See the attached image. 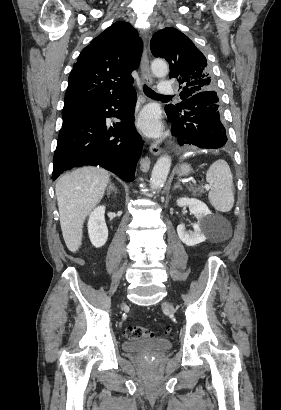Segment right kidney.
<instances>
[{"label":"right kidney","instance_id":"1","mask_svg":"<svg viewBox=\"0 0 281 410\" xmlns=\"http://www.w3.org/2000/svg\"><path fill=\"white\" fill-rule=\"evenodd\" d=\"M104 214L105 206H98L91 212L88 220L89 238L96 248L102 247L108 239V228Z\"/></svg>","mask_w":281,"mask_h":410}]
</instances>
